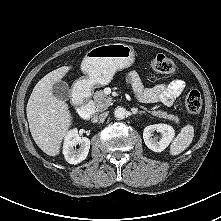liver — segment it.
Listing matches in <instances>:
<instances>
[{
	"label": "liver",
	"instance_id": "1",
	"mask_svg": "<svg viewBox=\"0 0 221 221\" xmlns=\"http://www.w3.org/2000/svg\"><path fill=\"white\" fill-rule=\"evenodd\" d=\"M63 66L45 75L34 87L26 107L31 135L37 146L47 155L56 156L72 124L68 104L57 99L53 85L69 72Z\"/></svg>",
	"mask_w": 221,
	"mask_h": 221
}]
</instances>
